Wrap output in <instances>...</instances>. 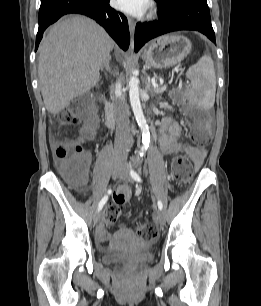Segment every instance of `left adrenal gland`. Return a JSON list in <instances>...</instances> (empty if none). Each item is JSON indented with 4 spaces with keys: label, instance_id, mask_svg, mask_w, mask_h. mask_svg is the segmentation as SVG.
Segmentation results:
<instances>
[{
    "label": "left adrenal gland",
    "instance_id": "left-adrenal-gland-1",
    "mask_svg": "<svg viewBox=\"0 0 261 306\" xmlns=\"http://www.w3.org/2000/svg\"><path fill=\"white\" fill-rule=\"evenodd\" d=\"M146 89H149V83L146 81Z\"/></svg>",
    "mask_w": 261,
    "mask_h": 306
}]
</instances>
